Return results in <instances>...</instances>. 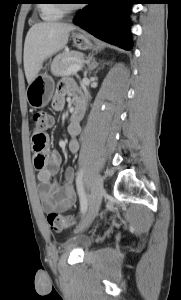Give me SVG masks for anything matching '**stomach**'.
<instances>
[{
  "label": "stomach",
  "mask_w": 181,
  "mask_h": 300,
  "mask_svg": "<svg viewBox=\"0 0 181 300\" xmlns=\"http://www.w3.org/2000/svg\"><path fill=\"white\" fill-rule=\"evenodd\" d=\"M72 40L80 50H87L93 47L89 36L85 33H73ZM54 81L47 73L36 76L27 89V100L32 108L45 107L52 98Z\"/></svg>",
  "instance_id": "obj_1"
}]
</instances>
